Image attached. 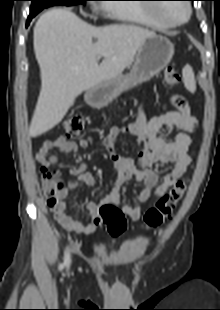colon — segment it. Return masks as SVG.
<instances>
[{"label": "colon", "mask_w": 220, "mask_h": 310, "mask_svg": "<svg viewBox=\"0 0 220 310\" xmlns=\"http://www.w3.org/2000/svg\"><path fill=\"white\" fill-rule=\"evenodd\" d=\"M164 80L167 85L174 86L180 82L179 73L174 68H166ZM85 126V118L81 114L68 116L63 122V128L68 136H77ZM42 187L47 204L55 206L64 189V183L56 171L42 168ZM188 179L178 180L170 190L158 197L155 204L144 215V228L156 229L167 221L187 189ZM99 214L102 222L112 236H119L126 230V219L122 210L112 203L103 204Z\"/></svg>", "instance_id": "1"}]
</instances>
